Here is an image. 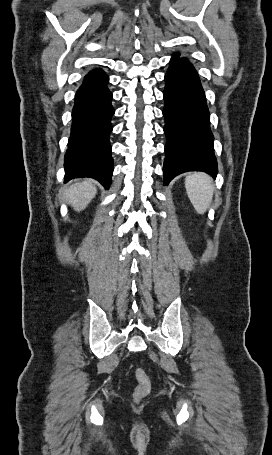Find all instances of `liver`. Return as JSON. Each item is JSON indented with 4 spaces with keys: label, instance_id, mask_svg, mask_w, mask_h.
<instances>
[{
    "label": "liver",
    "instance_id": "liver-1",
    "mask_svg": "<svg viewBox=\"0 0 272 455\" xmlns=\"http://www.w3.org/2000/svg\"><path fill=\"white\" fill-rule=\"evenodd\" d=\"M95 195L96 188L90 180L74 183L65 191L66 201L77 212L84 210Z\"/></svg>",
    "mask_w": 272,
    "mask_h": 455
}]
</instances>
